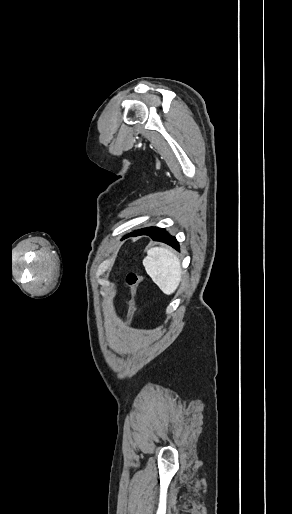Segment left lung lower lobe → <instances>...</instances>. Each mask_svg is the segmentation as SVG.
Instances as JSON below:
<instances>
[{"instance_id": "obj_1", "label": "left lung lower lobe", "mask_w": 292, "mask_h": 514, "mask_svg": "<svg viewBox=\"0 0 292 514\" xmlns=\"http://www.w3.org/2000/svg\"><path fill=\"white\" fill-rule=\"evenodd\" d=\"M140 235H148L155 241L164 242L168 245H171L176 250H179V242L176 240V238L172 235H170L165 229L163 228H157V227H149L148 229L130 234L129 236H140Z\"/></svg>"}]
</instances>
